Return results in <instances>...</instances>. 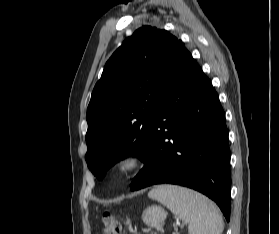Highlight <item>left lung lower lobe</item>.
I'll return each mask as SVG.
<instances>
[{"label": "left lung lower lobe", "mask_w": 279, "mask_h": 234, "mask_svg": "<svg viewBox=\"0 0 279 234\" xmlns=\"http://www.w3.org/2000/svg\"><path fill=\"white\" fill-rule=\"evenodd\" d=\"M145 167L131 191L171 183L214 200L230 220V149L225 114L211 81L184 48L154 113Z\"/></svg>", "instance_id": "0a47b994"}]
</instances>
